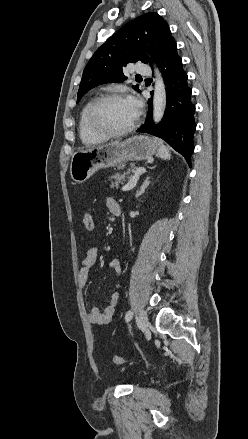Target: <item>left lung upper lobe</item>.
<instances>
[{"label": "left lung upper lobe", "mask_w": 248, "mask_h": 439, "mask_svg": "<svg viewBox=\"0 0 248 439\" xmlns=\"http://www.w3.org/2000/svg\"><path fill=\"white\" fill-rule=\"evenodd\" d=\"M175 42L167 22L157 13H146L125 24L100 46L87 63L77 95V102L91 88L106 82H123L127 63H148L145 52L158 62ZM133 89L140 91L138 85Z\"/></svg>", "instance_id": "5c2ea615"}]
</instances>
